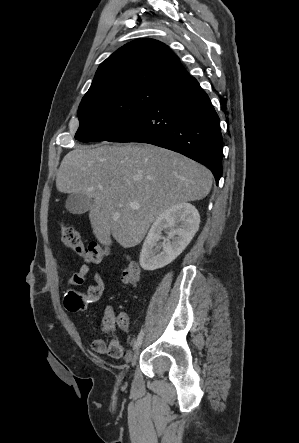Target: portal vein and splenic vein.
Instances as JSON below:
<instances>
[{
    "mask_svg": "<svg viewBox=\"0 0 299 443\" xmlns=\"http://www.w3.org/2000/svg\"><path fill=\"white\" fill-rule=\"evenodd\" d=\"M99 189H102V187L100 186L99 187ZM130 205L133 207V208H139V205L137 204V203H130Z\"/></svg>",
    "mask_w": 299,
    "mask_h": 443,
    "instance_id": "obj_1",
    "label": "portal vein and splenic vein"
}]
</instances>
